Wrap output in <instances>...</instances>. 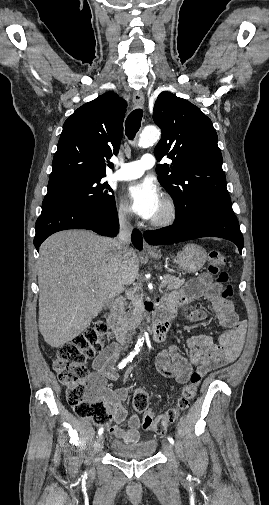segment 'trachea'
<instances>
[{
    "mask_svg": "<svg viewBox=\"0 0 269 505\" xmlns=\"http://www.w3.org/2000/svg\"><path fill=\"white\" fill-rule=\"evenodd\" d=\"M143 111L136 109L132 111L125 122V133L128 139L133 140L141 127Z\"/></svg>",
    "mask_w": 269,
    "mask_h": 505,
    "instance_id": "obj_1",
    "label": "trachea"
}]
</instances>
